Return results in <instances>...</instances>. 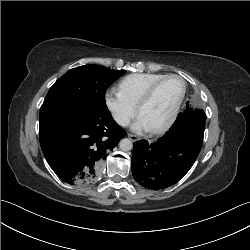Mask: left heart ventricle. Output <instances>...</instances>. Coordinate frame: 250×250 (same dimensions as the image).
I'll list each match as a JSON object with an SVG mask.
<instances>
[{"mask_svg":"<svg viewBox=\"0 0 250 250\" xmlns=\"http://www.w3.org/2000/svg\"><path fill=\"white\" fill-rule=\"evenodd\" d=\"M182 90V83L176 78L162 82L152 99L144 106L140 117L149 129L163 124L171 115Z\"/></svg>","mask_w":250,"mask_h":250,"instance_id":"left-heart-ventricle-1","label":"left heart ventricle"}]
</instances>
